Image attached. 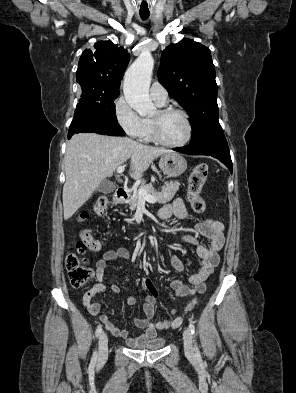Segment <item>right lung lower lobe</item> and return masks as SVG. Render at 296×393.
Instances as JSON below:
<instances>
[{
	"label": "right lung lower lobe",
	"mask_w": 296,
	"mask_h": 393,
	"mask_svg": "<svg viewBox=\"0 0 296 393\" xmlns=\"http://www.w3.org/2000/svg\"><path fill=\"white\" fill-rule=\"evenodd\" d=\"M75 133H98L110 136H123L125 134L117 121L108 120L101 115L85 110H75L68 132V139Z\"/></svg>",
	"instance_id": "98d812e1"
}]
</instances>
